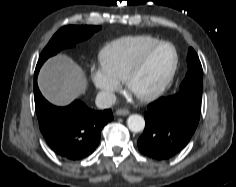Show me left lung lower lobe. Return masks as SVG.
<instances>
[{"label":"left lung lower lobe","mask_w":236,"mask_h":187,"mask_svg":"<svg viewBox=\"0 0 236 187\" xmlns=\"http://www.w3.org/2000/svg\"><path fill=\"white\" fill-rule=\"evenodd\" d=\"M200 103L185 97H161L144 113L145 129L138 148L145 156L165 160L181 151L200 119Z\"/></svg>","instance_id":"0a47b994"}]
</instances>
